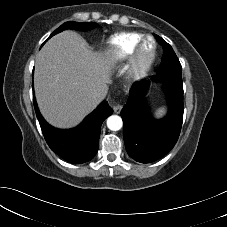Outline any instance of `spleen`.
Returning <instances> with one entry per match:
<instances>
[{
    "label": "spleen",
    "mask_w": 227,
    "mask_h": 227,
    "mask_svg": "<svg viewBox=\"0 0 227 227\" xmlns=\"http://www.w3.org/2000/svg\"><path fill=\"white\" fill-rule=\"evenodd\" d=\"M162 113H163V109H160V110L157 112V115H158V116H161Z\"/></svg>",
    "instance_id": "obj_1"
}]
</instances>
